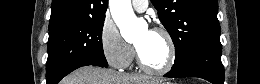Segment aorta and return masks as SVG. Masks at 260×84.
I'll return each instance as SVG.
<instances>
[{"mask_svg":"<svg viewBox=\"0 0 260 84\" xmlns=\"http://www.w3.org/2000/svg\"><path fill=\"white\" fill-rule=\"evenodd\" d=\"M109 7L112 18L120 29L122 37L126 41H133L137 38L141 23L135 16L130 0H109Z\"/></svg>","mask_w":260,"mask_h":84,"instance_id":"1","label":"aorta"}]
</instances>
